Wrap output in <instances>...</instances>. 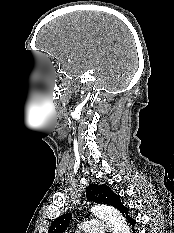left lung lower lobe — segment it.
Listing matches in <instances>:
<instances>
[{"label":"left lung lower lobe","instance_id":"obj_1","mask_svg":"<svg viewBox=\"0 0 174 233\" xmlns=\"http://www.w3.org/2000/svg\"><path fill=\"white\" fill-rule=\"evenodd\" d=\"M128 211H129V208H127V210H126V212H125V214L127 215L126 218H127L128 222H129L132 226H134L135 223H136V220H134L130 215H128ZM133 233H136L134 229H133Z\"/></svg>","mask_w":174,"mask_h":233}]
</instances>
